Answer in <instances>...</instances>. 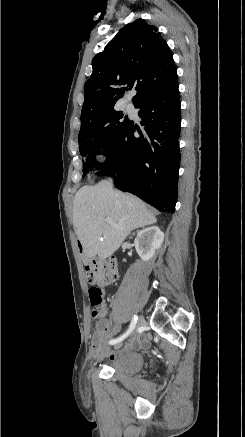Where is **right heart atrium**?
I'll list each match as a JSON object with an SVG mask.
<instances>
[{
    "mask_svg": "<svg viewBox=\"0 0 245 437\" xmlns=\"http://www.w3.org/2000/svg\"><path fill=\"white\" fill-rule=\"evenodd\" d=\"M95 153L99 162H105L110 153L108 141L104 137H100L95 144Z\"/></svg>",
    "mask_w": 245,
    "mask_h": 437,
    "instance_id": "obj_1",
    "label": "right heart atrium"
}]
</instances>
